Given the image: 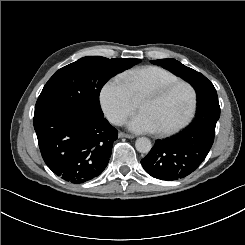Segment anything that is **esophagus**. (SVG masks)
Segmentation results:
<instances>
[{"mask_svg":"<svg viewBox=\"0 0 245 245\" xmlns=\"http://www.w3.org/2000/svg\"><path fill=\"white\" fill-rule=\"evenodd\" d=\"M118 137H120V138L124 137V138H129V139H133V138H134L133 135L126 134V133H123V132H120V133L118 134Z\"/></svg>","mask_w":245,"mask_h":245,"instance_id":"obj_1","label":"esophagus"}]
</instances>
